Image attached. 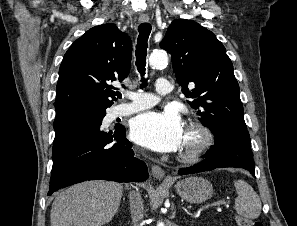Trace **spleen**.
Here are the masks:
<instances>
[{
	"mask_svg": "<svg viewBox=\"0 0 297 226\" xmlns=\"http://www.w3.org/2000/svg\"><path fill=\"white\" fill-rule=\"evenodd\" d=\"M238 197L235 200L236 212L244 218L256 219L261 213V200L251 185L244 180H235Z\"/></svg>",
	"mask_w": 297,
	"mask_h": 226,
	"instance_id": "3e777b00",
	"label": "spleen"
}]
</instances>
